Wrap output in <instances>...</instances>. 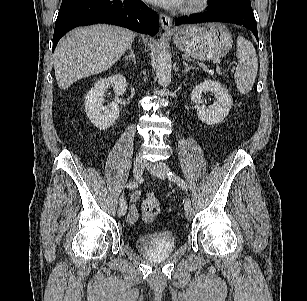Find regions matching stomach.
<instances>
[{"label":"stomach","instance_id":"0dacf381","mask_svg":"<svg viewBox=\"0 0 307 301\" xmlns=\"http://www.w3.org/2000/svg\"><path fill=\"white\" fill-rule=\"evenodd\" d=\"M176 46L198 60H218L232 48L233 39L221 23L187 25L173 32Z\"/></svg>","mask_w":307,"mask_h":301}]
</instances>
